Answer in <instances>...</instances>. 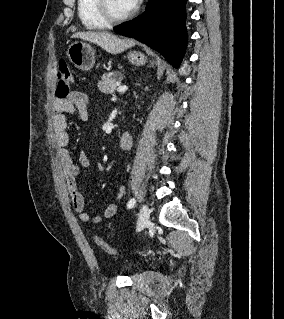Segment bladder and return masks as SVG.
Here are the masks:
<instances>
[{
    "label": "bladder",
    "instance_id": "1",
    "mask_svg": "<svg viewBox=\"0 0 284 319\" xmlns=\"http://www.w3.org/2000/svg\"><path fill=\"white\" fill-rule=\"evenodd\" d=\"M136 265H137L136 263L130 262V263L125 264L124 269H125V270H131V269H133L134 267H136Z\"/></svg>",
    "mask_w": 284,
    "mask_h": 319
}]
</instances>
